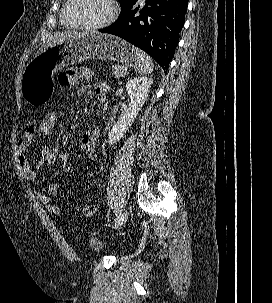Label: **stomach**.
I'll use <instances>...</instances> for the list:
<instances>
[{
  "label": "stomach",
  "mask_w": 272,
  "mask_h": 303,
  "mask_svg": "<svg viewBox=\"0 0 272 303\" xmlns=\"http://www.w3.org/2000/svg\"><path fill=\"white\" fill-rule=\"evenodd\" d=\"M87 59L129 63L137 59L133 47L113 35L88 32L44 48L25 67L21 93L31 105L45 103L52 94L53 76L63 67Z\"/></svg>",
  "instance_id": "stomach-1"
}]
</instances>
